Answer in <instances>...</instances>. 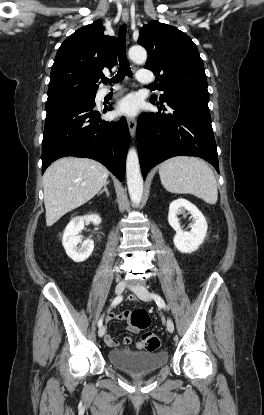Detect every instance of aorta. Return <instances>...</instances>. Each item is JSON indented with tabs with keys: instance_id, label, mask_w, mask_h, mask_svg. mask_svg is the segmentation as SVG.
Masks as SVG:
<instances>
[{
	"instance_id": "762f6f07",
	"label": "aorta",
	"mask_w": 264,
	"mask_h": 415,
	"mask_svg": "<svg viewBox=\"0 0 264 415\" xmlns=\"http://www.w3.org/2000/svg\"><path fill=\"white\" fill-rule=\"evenodd\" d=\"M129 57L136 63H143L147 59V52L141 46H133L129 49ZM126 175L131 201L134 204H139L143 194V179L138 154L134 148L129 149L127 154Z\"/></svg>"
}]
</instances>
